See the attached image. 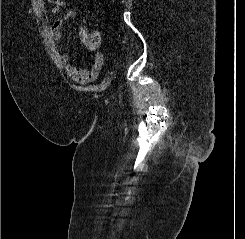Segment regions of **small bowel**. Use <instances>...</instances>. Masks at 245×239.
I'll return each instance as SVG.
<instances>
[{
    "instance_id": "c3829d8e",
    "label": "small bowel",
    "mask_w": 245,
    "mask_h": 239,
    "mask_svg": "<svg viewBox=\"0 0 245 239\" xmlns=\"http://www.w3.org/2000/svg\"><path fill=\"white\" fill-rule=\"evenodd\" d=\"M53 3L52 12L57 14L62 9L65 8V2L63 0H56ZM76 11L74 9H69L65 12V14L56 19L52 24V33L57 40H60L62 37L61 28L63 26L64 21L74 19L76 17ZM100 40V34L95 32L93 33ZM84 36V33H83ZM61 61L65 65L67 74L76 82L80 84H86L92 82L98 78L100 75L102 66H103V55L99 52L94 54V62L91 68H83L79 67L73 63H71L70 55L67 53H63L61 55Z\"/></svg>"
}]
</instances>
